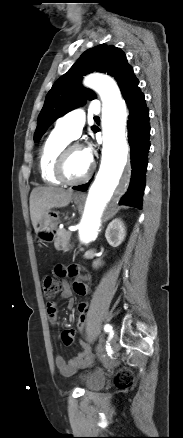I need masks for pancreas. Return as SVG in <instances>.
Instances as JSON below:
<instances>
[{
  "instance_id": "pancreas-1",
  "label": "pancreas",
  "mask_w": 183,
  "mask_h": 438,
  "mask_svg": "<svg viewBox=\"0 0 183 438\" xmlns=\"http://www.w3.org/2000/svg\"><path fill=\"white\" fill-rule=\"evenodd\" d=\"M57 237L54 242V246L58 251H68L69 250V242L71 238V232L66 231L65 229L57 230Z\"/></svg>"
}]
</instances>
